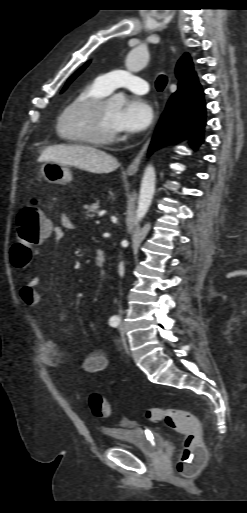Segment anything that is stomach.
<instances>
[{"label": "stomach", "mask_w": 247, "mask_h": 513, "mask_svg": "<svg viewBox=\"0 0 247 513\" xmlns=\"http://www.w3.org/2000/svg\"><path fill=\"white\" fill-rule=\"evenodd\" d=\"M41 174L51 184L65 185L72 181V174L69 168L53 161H46L41 166Z\"/></svg>", "instance_id": "stomach-1"}]
</instances>
